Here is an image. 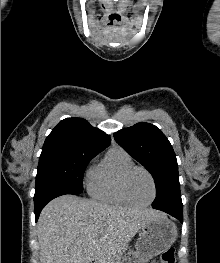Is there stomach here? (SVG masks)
<instances>
[{
    "instance_id": "1",
    "label": "stomach",
    "mask_w": 220,
    "mask_h": 263,
    "mask_svg": "<svg viewBox=\"0 0 220 263\" xmlns=\"http://www.w3.org/2000/svg\"><path fill=\"white\" fill-rule=\"evenodd\" d=\"M176 237V225L162 214L141 228L136 251L125 254L121 263H148L150 259L168 249Z\"/></svg>"
}]
</instances>
